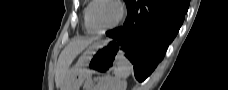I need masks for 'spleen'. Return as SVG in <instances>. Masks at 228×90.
Masks as SVG:
<instances>
[{"instance_id": "3e777b00", "label": "spleen", "mask_w": 228, "mask_h": 90, "mask_svg": "<svg viewBox=\"0 0 228 90\" xmlns=\"http://www.w3.org/2000/svg\"><path fill=\"white\" fill-rule=\"evenodd\" d=\"M133 72L132 64L125 58L123 53L117 57L114 75L117 80L126 79Z\"/></svg>"}]
</instances>
